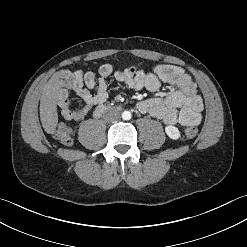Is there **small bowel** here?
I'll return each mask as SVG.
<instances>
[{"label": "small bowel", "mask_w": 247, "mask_h": 247, "mask_svg": "<svg viewBox=\"0 0 247 247\" xmlns=\"http://www.w3.org/2000/svg\"><path fill=\"white\" fill-rule=\"evenodd\" d=\"M113 75L117 83L125 88L156 91L161 83L177 88L166 97H153L138 102L137 109L165 124L179 123L196 126L202 120L203 102L197 94L196 85L185 71L175 65L160 64L150 71L140 69L130 73L129 69H115L105 63L98 69V76L92 71L63 70L59 73L60 89L57 106L65 120L78 121L89 112L103 105L109 97L107 78ZM74 91L83 101L82 107L72 109L70 93Z\"/></svg>", "instance_id": "small-bowel-1"}]
</instances>
